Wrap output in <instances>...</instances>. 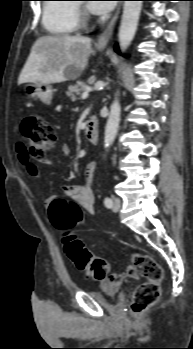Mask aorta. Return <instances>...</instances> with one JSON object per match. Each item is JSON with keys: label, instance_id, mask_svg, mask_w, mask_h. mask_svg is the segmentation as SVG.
<instances>
[{"label": "aorta", "instance_id": "762f6f07", "mask_svg": "<svg viewBox=\"0 0 193 349\" xmlns=\"http://www.w3.org/2000/svg\"><path fill=\"white\" fill-rule=\"evenodd\" d=\"M142 1H125L123 14L119 28V46L122 52H125L131 44L139 21ZM121 107L118 97L111 104L110 113L105 127L104 145L109 148L116 137L120 123Z\"/></svg>", "mask_w": 193, "mask_h": 349}]
</instances>
